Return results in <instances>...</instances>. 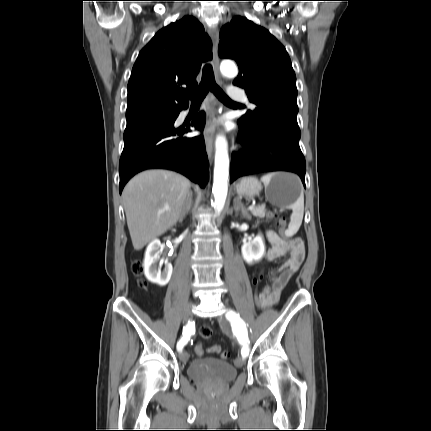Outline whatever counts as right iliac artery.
Here are the masks:
<instances>
[{
    "label": "right iliac artery",
    "instance_id": "obj_1",
    "mask_svg": "<svg viewBox=\"0 0 431 431\" xmlns=\"http://www.w3.org/2000/svg\"><path fill=\"white\" fill-rule=\"evenodd\" d=\"M194 331V325L189 322L186 326L183 327V333L181 339L177 343L178 351H181L183 347L187 344Z\"/></svg>",
    "mask_w": 431,
    "mask_h": 431
}]
</instances>
